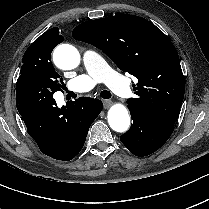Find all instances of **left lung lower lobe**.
I'll list each match as a JSON object with an SVG mask.
<instances>
[{
    "mask_svg": "<svg viewBox=\"0 0 209 209\" xmlns=\"http://www.w3.org/2000/svg\"><path fill=\"white\" fill-rule=\"evenodd\" d=\"M133 124L120 140L134 155L147 156L158 150L171 136L174 124L128 106Z\"/></svg>",
    "mask_w": 209,
    "mask_h": 209,
    "instance_id": "left-lung-lower-lobe-1",
    "label": "left lung lower lobe"
}]
</instances>
